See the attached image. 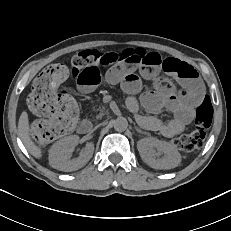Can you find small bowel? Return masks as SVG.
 <instances>
[{
    "label": "small bowel",
    "mask_w": 231,
    "mask_h": 231,
    "mask_svg": "<svg viewBox=\"0 0 231 231\" xmlns=\"http://www.w3.org/2000/svg\"><path fill=\"white\" fill-rule=\"evenodd\" d=\"M152 54L155 56L144 62H121L112 66L104 79L109 84H120L126 93L133 95L138 93L142 86L141 78L136 73L138 68L143 78L153 81V90L141 95L143 107L151 112L166 108L173 114V118L162 122L154 116L137 115V120L146 129L172 137L181 133L190 123L195 107L204 98V86L196 70L188 63ZM162 72L177 79L182 88L176 90L167 78L161 76ZM101 80L100 66H89L77 76L78 90L81 93H89ZM127 105L134 112L139 109L134 97L127 100Z\"/></svg>",
    "instance_id": "1"
}]
</instances>
